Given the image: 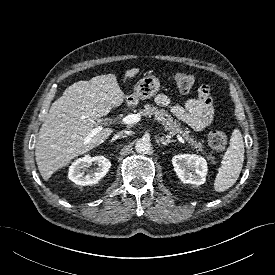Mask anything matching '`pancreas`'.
<instances>
[{"instance_id":"cf45deb5","label":"pancreas","mask_w":275,"mask_h":275,"mask_svg":"<svg viewBox=\"0 0 275 275\" xmlns=\"http://www.w3.org/2000/svg\"><path fill=\"white\" fill-rule=\"evenodd\" d=\"M143 116H155L158 121H161L165 130L169 131L172 135L182 136L197 152L205 154L204 146L199 142L193 135H190L188 128H182L181 123L178 120H174L169 113L164 109H158L154 105L146 104L144 109L141 111ZM208 160L214 162L212 154L206 155Z\"/></svg>"}]
</instances>
